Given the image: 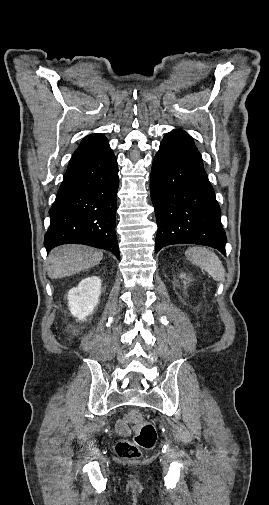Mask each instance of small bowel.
Wrapping results in <instances>:
<instances>
[{"mask_svg":"<svg viewBox=\"0 0 269 505\" xmlns=\"http://www.w3.org/2000/svg\"><path fill=\"white\" fill-rule=\"evenodd\" d=\"M129 416L126 419L121 420L117 423V430L120 434L127 435L130 433V429L128 426Z\"/></svg>","mask_w":269,"mask_h":505,"instance_id":"1","label":"small bowel"}]
</instances>
